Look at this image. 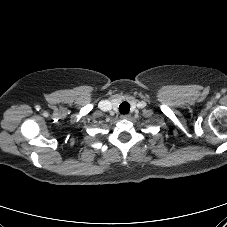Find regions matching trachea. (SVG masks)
I'll return each instance as SVG.
<instances>
[{
	"label": "trachea",
	"mask_w": 227,
	"mask_h": 227,
	"mask_svg": "<svg viewBox=\"0 0 227 227\" xmlns=\"http://www.w3.org/2000/svg\"><path fill=\"white\" fill-rule=\"evenodd\" d=\"M119 111L121 114H127L130 111V105L128 102H122L119 106Z\"/></svg>",
	"instance_id": "3493384b"
}]
</instances>
